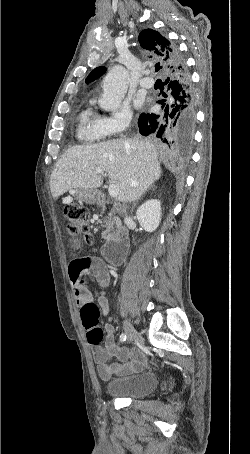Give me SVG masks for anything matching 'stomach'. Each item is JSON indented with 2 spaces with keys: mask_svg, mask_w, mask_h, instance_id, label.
<instances>
[{
  "mask_svg": "<svg viewBox=\"0 0 250 454\" xmlns=\"http://www.w3.org/2000/svg\"><path fill=\"white\" fill-rule=\"evenodd\" d=\"M77 199L88 204H94L98 201V192L94 189H78Z\"/></svg>",
  "mask_w": 250,
  "mask_h": 454,
  "instance_id": "stomach-1",
  "label": "stomach"
}]
</instances>
